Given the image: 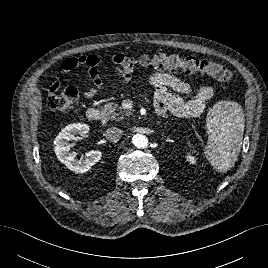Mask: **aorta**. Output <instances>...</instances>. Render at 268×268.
Wrapping results in <instances>:
<instances>
[{"label":"aorta","instance_id":"obj_1","mask_svg":"<svg viewBox=\"0 0 268 268\" xmlns=\"http://www.w3.org/2000/svg\"><path fill=\"white\" fill-rule=\"evenodd\" d=\"M132 143L137 148H145L148 145V139L145 135L136 134L132 137Z\"/></svg>","mask_w":268,"mask_h":268}]
</instances>
